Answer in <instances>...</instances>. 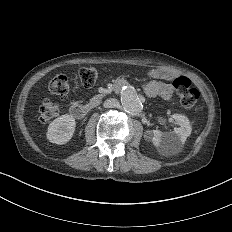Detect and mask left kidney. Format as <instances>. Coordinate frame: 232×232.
<instances>
[{
    "label": "left kidney",
    "instance_id": "5707ae66",
    "mask_svg": "<svg viewBox=\"0 0 232 232\" xmlns=\"http://www.w3.org/2000/svg\"><path fill=\"white\" fill-rule=\"evenodd\" d=\"M172 118L178 125L174 127L173 131L162 132L158 129L152 131V142L159 152L163 150L174 151L182 149L187 137L191 134L192 128L186 116L174 113L172 114Z\"/></svg>",
    "mask_w": 232,
    "mask_h": 232
}]
</instances>
